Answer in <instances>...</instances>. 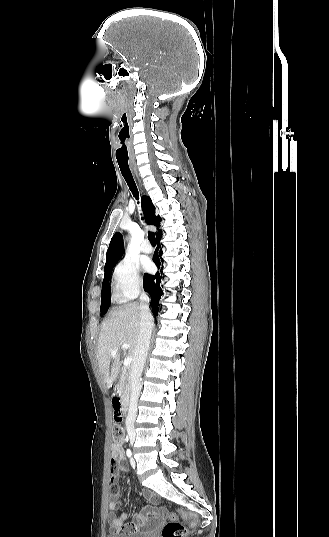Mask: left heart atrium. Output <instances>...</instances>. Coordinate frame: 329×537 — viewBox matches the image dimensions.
Here are the masks:
<instances>
[{
    "mask_svg": "<svg viewBox=\"0 0 329 537\" xmlns=\"http://www.w3.org/2000/svg\"><path fill=\"white\" fill-rule=\"evenodd\" d=\"M141 263L145 270H149L151 268V263L148 259L144 258Z\"/></svg>",
    "mask_w": 329,
    "mask_h": 537,
    "instance_id": "left-heart-atrium-1",
    "label": "left heart atrium"
}]
</instances>
